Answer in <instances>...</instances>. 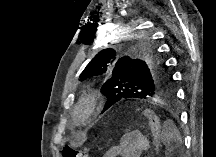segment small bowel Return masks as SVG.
<instances>
[{
    "label": "small bowel",
    "instance_id": "small-bowel-1",
    "mask_svg": "<svg viewBox=\"0 0 216 157\" xmlns=\"http://www.w3.org/2000/svg\"><path fill=\"white\" fill-rule=\"evenodd\" d=\"M149 147V142L139 132L125 135L120 144L108 151V157H138Z\"/></svg>",
    "mask_w": 216,
    "mask_h": 157
}]
</instances>
